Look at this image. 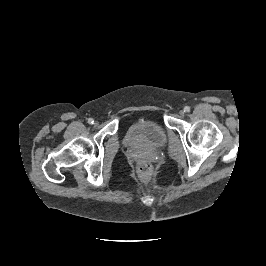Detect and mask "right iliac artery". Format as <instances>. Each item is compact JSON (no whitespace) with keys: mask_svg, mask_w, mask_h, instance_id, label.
Here are the masks:
<instances>
[{"mask_svg":"<svg viewBox=\"0 0 266 266\" xmlns=\"http://www.w3.org/2000/svg\"><path fill=\"white\" fill-rule=\"evenodd\" d=\"M88 123H89V124H93V123H94V120H93L92 118H89V119H88Z\"/></svg>","mask_w":266,"mask_h":266,"instance_id":"1","label":"right iliac artery"}]
</instances>
